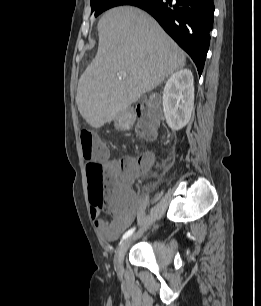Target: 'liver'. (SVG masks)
<instances>
[{"label":"liver","instance_id":"1","mask_svg":"<svg viewBox=\"0 0 261 306\" xmlns=\"http://www.w3.org/2000/svg\"><path fill=\"white\" fill-rule=\"evenodd\" d=\"M98 33L97 55L81 75L76 96L80 114L95 128L115 120L186 64L180 47L136 7L106 11Z\"/></svg>","mask_w":261,"mask_h":306}]
</instances>
